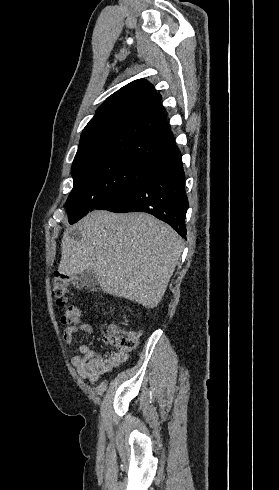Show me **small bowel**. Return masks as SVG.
<instances>
[{
	"label": "small bowel",
	"instance_id": "small-bowel-1",
	"mask_svg": "<svg viewBox=\"0 0 279 490\" xmlns=\"http://www.w3.org/2000/svg\"><path fill=\"white\" fill-rule=\"evenodd\" d=\"M79 332L91 334L93 328L86 322L70 326L63 332L64 341L70 346L74 345L75 336ZM127 360L128 354L126 352L118 351L110 354H98L85 344L80 345L78 354L70 358V362L76 368L78 375L91 383H96L101 374L111 371Z\"/></svg>",
	"mask_w": 279,
	"mask_h": 490
}]
</instances>
